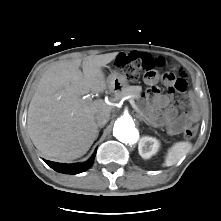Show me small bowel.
Returning <instances> with one entry per match:
<instances>
[{
    "mask_svg": "<svg viewBox=\"0 0 221 221\" xmlns=\"http://www.w3.org/2000/svg\"><path fill=\"white\" fill-rule=\"evenodd\" d=\"M121 54H130L137 57L145 54L150 57H154L151 54L142 52H129ZM177 74L179 77L186 78V72L182 68H177ZM156 81L157 75H154L151 78H146V82L150 86H153ZM147 97L156 113L157 121L161 126L165 127L169 135H177L182 127L189 125L198 119V112L194 104H192V108L190 110L179 113L177 107L171 104L170 97L166 94L157 92L154 87H151Z\"/></svg>",
    "mask_w": 221,
    "mask_h": 221,
    "instance_id": "c3829d8e",
    "label": "small bowel"
}]
</instances>
